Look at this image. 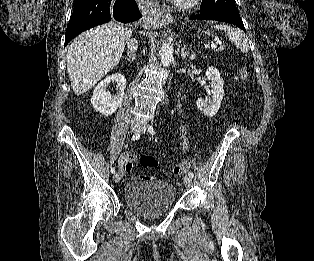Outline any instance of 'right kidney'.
Segmentation results:
<instances>
[{"label": "right kidney", "mask_w": 314, "mask_h": 261, "mask_svg": "<svg viewBox=\"0 0 314 261\" xmlns=\"http://www.w3.org/2000/svg\"><path fill=\"white\" fill-rule=\"evenodd\" d=\"M110 82H115L117 84V89H119L115 95H111L107 91ZM125 88L126 79L120 73L108 76L101 81L93 91V96L91 98V103L95 111L100 112L105 116L112 115L122 104Z\"/></svg>", "instance_id": "1"}]
</instances>
